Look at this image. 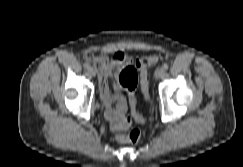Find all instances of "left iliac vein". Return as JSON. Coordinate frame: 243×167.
<instances>
[{"label":"left iliac vein","instance_id":"4c4485c4","mask_svg":"<svg viewBox=\"0 0 243 167\" xmlns=\"http://www.w3.org/2000/svg\"><path fill=\"white\" fill-rule=\"evenodd\" d=\"M155 75L157 78H162L165 75V70L163 68H158Z\"/></svg>","mask_w":243,"mask_h":167}]
</instances>
